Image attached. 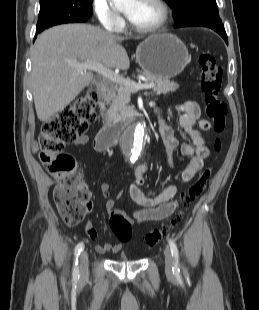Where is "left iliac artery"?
<instances>
[{"instance_id":"1","label":"left iliac artery","mask_w":259,"mask_h":310,"mask_svg":"<svg viewBox=\"0 0 259 310\" xmlns=\"http://www.w3.org/2000/svg\"><path fill=\"white\" fill-rule=\"evenodd\" d=\"M169 246L171 249L172 256L174 258L173 273L174 272L177 273V272H179V251H178V248H177L175 241L172 239L169 240Z\"/></svg>"}]
</instances>
